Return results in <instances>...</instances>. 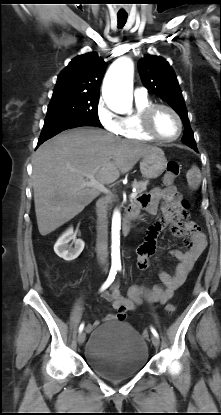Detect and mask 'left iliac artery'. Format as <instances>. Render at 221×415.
<instances>
[{"label": "left iliac artery", "mask_w": 221, "mask_h": 415, "mask_svg": "<svg viewBox=\"0 0 221 415\" xmlns=\"http://www.w3.org/2000/svg\"><path fill=\"white\" fill-rule=\"evenodd\" d=\"M118 270H121V266L118 267ZM151 332L153 333V335L158 337V333L153 327H151Z\"/></svg>", "instance_id": "1"}]
</instances>
